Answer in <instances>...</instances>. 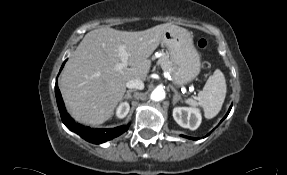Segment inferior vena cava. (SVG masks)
Wrapping results in <instances>:
<instances>
[{"label":"inferior vena cava","instance_id":"602c4592","mask_svg":"<svg viewBox=\"0 0 287 175\" xmlns=\"http://www.w3.org/2000/svg\"><path fill=\"white\" fill-rule=\"evenodd\" d=\"M126 87L131 88V89L135 88V89L142 90L144 89V83L140 79H132V80L127 81Z\"/></svg>","mask_w":287,"mask_h":175}]
</instances>
